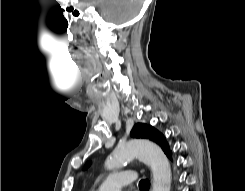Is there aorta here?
I'll list each match as a JSON object with an SVG mask.
<instances>
[{
  "label": "aorta",
  "mask_w": 245,
  "mask_h": 191,
  "mask_svg": "<svg viewBox=\"0 0 245 191\" xmlns=\"http://www.w3.org/2000/svg\"><path fill=\"white\" fill-rule=\"evenodd\" d=\"M138 157L148 166L153 173L152 191H170L171 168L169 161L156 144L146 140H131L114 149L105 161L108 170L120 168L125 163Z\"/></svg>",
  "instance_id": "1"
}]
</instances>
